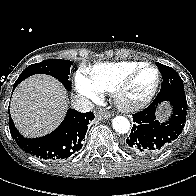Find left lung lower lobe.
I'll return each instance as SVG.
<instances>
[{"label":"left lung lower lobe","instance_id":"1","mask_svg":"<svg viewBox=\"0 0 196 196\" xmlns=\"http://www.w3.org/2000/svg\"><path fill=\"white\" fill-rule=\"evenodd\" d=\"M161 74L164 81H175L172 71L165 69L161 71ZM163 102L169 103L171 114L165 122H160L155 112L158 105ZM186 114L185 94L161 95L159 93L147 108L133 114L135 124L126 139L125 148L139 156H153L161 153L181 134L185 126Z\"/></svg>","mask_w":196,"mask_h":196}]
</instances>
